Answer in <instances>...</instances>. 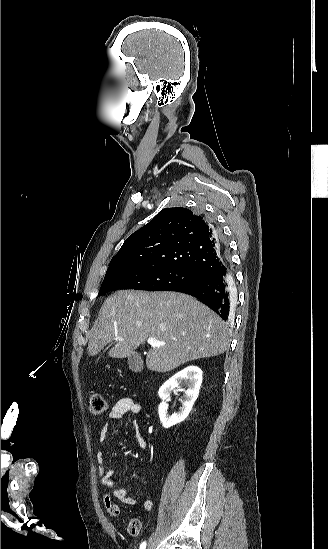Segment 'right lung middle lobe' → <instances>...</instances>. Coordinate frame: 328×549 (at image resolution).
Returning <instances> with one entry per match:
<instances>
[{"instance_id":"obj_1","label":"right lung middle lobe","mask_w":328,"mask_h":549,"mask_svg":"<svg viewBox=\"0 0 328 549\" xmlns=\"http://www.w3.org/2000/svg\"><path fill=\"white\" fill-rule=\"evenodd\" d=\"M203 276L195 270L184 267L131 262L107 272L98 295L116 289L172 291Z\"/></svg>"}]
</instances>
